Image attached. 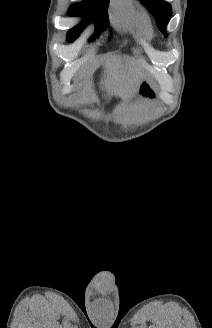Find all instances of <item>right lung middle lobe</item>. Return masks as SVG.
<instances>
[{
    "label": "right lung middle lobe",
    "instance_id": "1",
    "mask_svg": "<svg viewBox=\"0 0 212 328\" xmlns=\"http://www.w3.org/2000/svg\"><path fill=\"white\" fill-rule=\"evenodd\" d=\"M109 0H84L70 6L69 16H78L85 13V10L94 6V11L87 14L83 21L68 33V41L73 42L81 31L91 22H95L97 30H105L108 24L107 5ZM93 38V37H92ZM91 38V39H92Z\"/></svg>",
    "mask_w": 212,
    "mask_h": 328
}]
</instances>
